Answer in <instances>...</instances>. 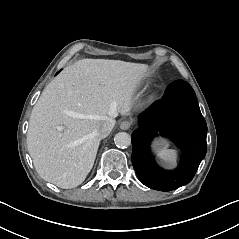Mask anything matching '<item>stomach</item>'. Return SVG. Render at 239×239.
<instances>
[{"mask_svg":"<svg viewBox=\"0 0 239 239\" xmlns=\"http://www.w3.org/2000/svg\"><path fill=\"white\" fill-rule=\"evenodd\" d=\"M167 147H168V142L166 140H163V139L156 140L153 143V148L158 152L161 151L162 149L167 148Z\"/></svg>","mask_w":239,"mask_h":239,"instance_id":"obj_1","label":"stomach"}]
</instances>
